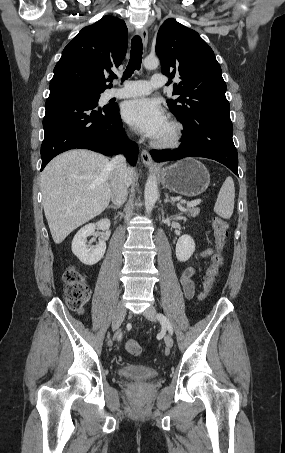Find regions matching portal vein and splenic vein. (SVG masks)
<instances>
[{
    "instance_id": "portal-vein-and-splenic-vein-1",
    "label": "portal vein and splenic vein",
    "mask_w": 285,
    "mask_h": 453,
    "mask_svg": "<svg viewBox=\"0 0 285 453\" xmlns=\"http://www.w3.org/2000/svg\"><path fill=\"white\" fill-rule=\"evenodd\" d=\"M200 202H201L200 199L194 200V201H191V202H188V203H187V207H194V206L200 204Z\"/></svg>"
}]
</instances>
